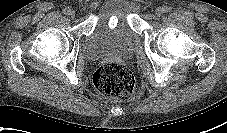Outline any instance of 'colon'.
Wrapping results in <instances>:
<instances>
[{
	"label": "colon",
	"mask_w": 227,
	"mask_h": 133,
	"mask_svg": "<svg viewBox=\"0 0 227 133\" xmlns=\"http://www.w3.org/2000/svg\"><path fill=\"white\" fill-rule=\"evenodd\" d=\"M96 90L107 97L125 99L134 89V77L130 70L119 62L100 65L93 77Z\"/></svg>",
	"instance_id": "obj_1"
}]
</instances>
